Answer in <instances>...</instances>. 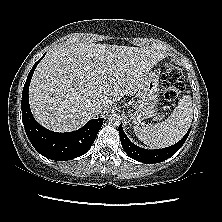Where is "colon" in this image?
Segmentation results:
<instances>
[{"label":"colon","instance_id":"colon-1","mask_svg":"<svg viewBox=\"0 0 222 222\" xmlns=\"http://www.w3.org/2000/svg\"><path fill=\"white\" fill-rule=\"evenodd\" d=\"M163 94L166 99H175L184 89V79L180 69L167 64L162 75Z\"/></svg>","mask_w":222,"mask_h":222}]
</instances>
